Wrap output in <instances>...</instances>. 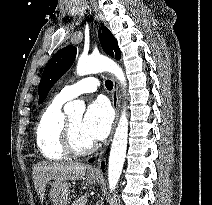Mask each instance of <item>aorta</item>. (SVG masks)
Here are the masks:
<instances>
[{
  "mask_svg": "<svg viewBox=\"0 0 212 205\" xmlns=\"http://www.w3.org/2000/svg\"><path fill=\"white\" fill-rule=\"evenodd\" d=\"M108 71L116 76L123 87L126 79L123 70L110 58L98 56H81L78 60L76 72L79 76ZM82 105L79 102L67 104L66 111H79ZM128 142V119L125 110L122 111L114 138L108 163V183L110 191H113L120 179L127 150Z\"/></svg>",
  "mask_w": 212,
  "mask_h": 205,
  "instance_id": "aorta-1",
  "label": "aorta"
}]
</instances>
